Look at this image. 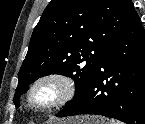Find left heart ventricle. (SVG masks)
Masks as SVG:
<instances>
[{"label": "left heart ventricle", "mask_w": 145, "mask_h": 124, "mask_svg": "<svg viewBox=\"0 0 145 124\" xmlns=\"http://www.w3.org/2000/svg\"><path fill=\"white\" fill-rule=\"evenodd\" d=\"M51 97H52V91L49 89H44L38 94L37 99L41 101H47Z\"/></svg>", "instance_id": "1"}]
</instances>
